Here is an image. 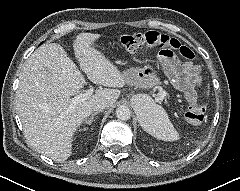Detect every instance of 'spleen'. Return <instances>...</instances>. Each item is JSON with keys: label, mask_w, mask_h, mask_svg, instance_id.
Wrapping results in <instances>:
<instances>
[{"label": "spleen", "mask_w": 240, "mask_h": 191, "mask_svg": "<svg viewBox=\"0 0 240 191\" xmlns=\"http://www.w3.org/2000/svg\"><path fill=\"white\" fill-rule=\"evenodd\" d=\"M141 126L158 140L174 141L179 139V134L169 120L165 110L153 103H151L150 107H146Z\"/></svg>", "instance_id": "1"}]
</instances>
